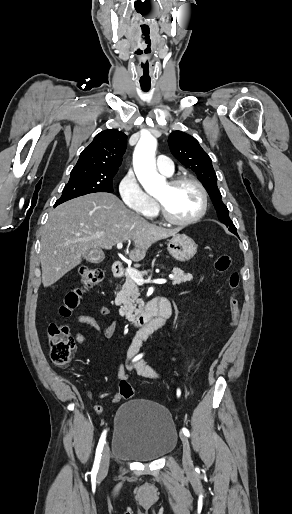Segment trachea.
Returning a JSON list of instances; mask_svg holds the SVG:
<instances>
[{
  "mask_svg": "<svg viewBox=\"0 0 292 514\" xmlns=\"http://www.w3.org/2000/svg\"><path fill=\"white\" fill-rule=\"evenodd\" d=\"M143 91L147 92V91H148V89H143Z\"/></svg>",
  "mask_w": 292,
  "mask_h": 514,
  "instance_id": "3493384b",
  "label": "trachea"
}]
</instances>
